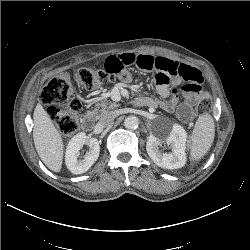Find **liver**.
<instances>
[{
  "instance_id": "obj_1",
  "label": "liver",
  "mask_w": 250,
  "mask_h": 250,
  "mask_svg": "<svg viewBox=\"0 0 250 250\" xmlns=\"http://www.w3.org/2000/svg\"><path fill=\"white\" fill-rule=\"evenodd\" d=\"M33 120V140L40 159L50 170L60 172L64 153L62 136L41 101L34 110Z\"/></svg>"
}]
</instances>
